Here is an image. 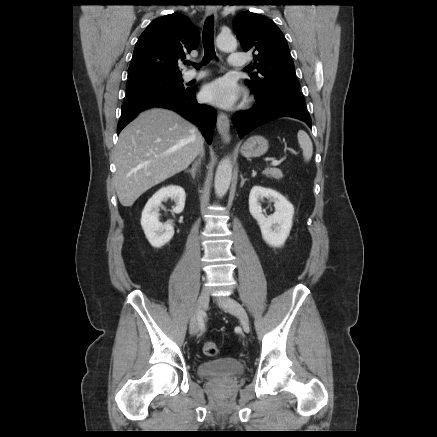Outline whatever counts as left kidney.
Returning <instances> with one entry per match:
<instances>
[{"label": "left kidney", "instance_id": "left-kidney-1", "mask_svg": "<svg viewBox=\"0 0 437 437\" xmlns=\"http://www.w3.org/2000/svg\"><path fill=\"white\" fill-rule=\"evenodd\" d=\"M264 198L274 202L275 207V212L267 217L260 204ZM249 211L258 222L264 241L273 247L283 246L292 228L293 205L273 189L254 186L249 195Z\"/></svg>", "mask_w": 437, "mask_h": 437}]
</instances>
